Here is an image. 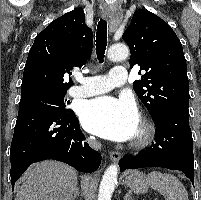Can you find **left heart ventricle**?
Here are the masks:
<instances>
[{"label":"left heart ventricle","mask_w":201,"mask_h":200,"mask_svg":"<svg viewBox=\"0 0 201 200\" xmlns=\"http://www.w3.org/2000/svg\"><path fill=\"white\" fill-rule=\"evenodd\" d=\"M139 130H140V128L138 127V130H137L136 136L138 135V133H139ZM136 136H135V137H136Z\"/></svg>","instance_id":"obj_1"}]
</instances>
